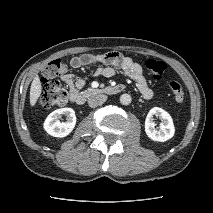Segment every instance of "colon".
Masks as SVG:
<instances>
[{"label":"colon","instance_id":"colon-1","mask_svg":"<svg viewBox=\"0 0 213 213\" xmlns=\"http://www.w3.org/2000/svg\"><path fill=\"white\" fill-rule=\"evenodd\" d=\"M149 75L156 81L162 80L167 66L163 61L149 59L145 63ZM66 63L62 59H54L48 62L42 71V93L39 98V105L43 108L62 107L67 103L66 90L58 80L54 78L64 73ZM168 87L174 101L181 105L185 100V94L181 84L176 80H169Z\"/></svg>","mask_w":213,"mask_h":213}]
</instances>
